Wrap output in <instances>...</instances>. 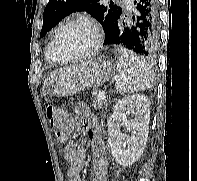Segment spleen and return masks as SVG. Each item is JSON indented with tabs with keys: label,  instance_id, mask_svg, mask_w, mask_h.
<instances>
[{
	"label": "spleen",
	"instance_id": "obj_1",
	"mask_svg": "<svg viewBox=\"0 0 197 181\" xmlns=\"http://www.w3.org/2000/svg\"><path fill=\"white\" fill-rule=\"evenodd\" d=\"M118 53L116 90L120 94H128L150 88L154 74L147 62L122 46L118 47Z\"/></svg>",
	"mask_w": 197,
	"mask_h": 181
}]
</instances>
